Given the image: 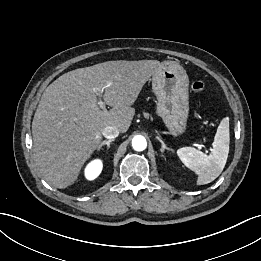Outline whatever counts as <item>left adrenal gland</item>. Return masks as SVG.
I'll return each instance as SVG.
<instances>
[{
  "mask_svg": "<svg viewBox=\"0 0 261 261\" xmlns=\"http://www.w3.org/2000/svg\"><path fill=\"white\" fill-rule=\"evenodd\" d=\"M157 139H158V141L161 143V145H162V148L160 149V151L161 152H164L165 150H168V151H172L173 152V150L171 149V148H168L167 146H166V144L163 142V140H161L159 137H156Z\"/></svg>",
  "mask_w": 261,
  "mask_h": 261,
  "instance_id": "1",
  "label": "left adrenal gland"
}]
</instances>
